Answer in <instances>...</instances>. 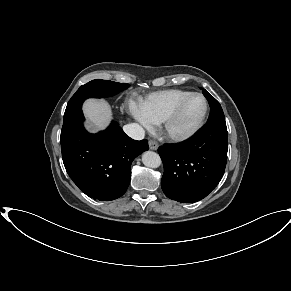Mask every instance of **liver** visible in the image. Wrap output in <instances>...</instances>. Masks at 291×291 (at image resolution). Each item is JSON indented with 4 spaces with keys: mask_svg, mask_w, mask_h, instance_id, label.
<instances>
[{
    "mask_svg": "<svg viewBox=\"0 0 291 291\" xmlns=\"http://www.w3.org/2000/svg\"><path fill=\"white\" fill-rule=\"evenodd\" d=\"M83 111L89 121L86 127L92 132L104 129L112 116L110 106L104 100H87L83 105Z\"/></svg>",
    "mask_w": 291,
    "mask_h": 291,
    "instance_id": "1",
    "label": "liver"
}]
</instances>
